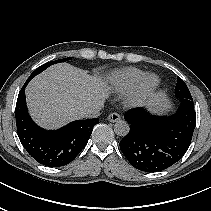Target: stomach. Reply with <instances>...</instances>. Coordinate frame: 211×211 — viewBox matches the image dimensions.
Here are the masks:
<instances>
[{
    "mask_svg": "<svg viewBox=\"0 0 211 211\" xmlns=\"http://www.w3.org/2000/svg\"><path fill=\"white\" fill-rule=\"evenodd\" d=\"M157 101H158L157 104H158L159 106H161V101H160V99H158Z\"/></svg>",
    "mask_w": 211,
    "mask_h": 211,
    "instance_id": "0dacf381",
    "label": "stomach"
}]
</instances>
